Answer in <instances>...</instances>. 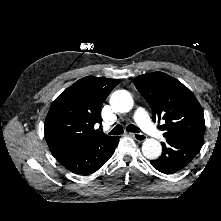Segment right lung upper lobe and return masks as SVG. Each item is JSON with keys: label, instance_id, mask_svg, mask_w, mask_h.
I'll list each match as a JSON object with an SVG mask.
<instances>
[{"label": "right lung upper lobe", "instance_id": "obj_1", "mask_svg": "<svg viewBox=\"0 0 221 221\" xmlns=\"http://www.w3.org/2000/svg\"><path fill=\"white\" fill-rule=\"evenodd\" d=\"M119 82L104 77H84L57 97L44 124L45 139L53 156L113 138L95 130L94 125L101 123L100 108Z\"/></svg>", "mask_w": 221, "mask_h": 221}]
</instances>
